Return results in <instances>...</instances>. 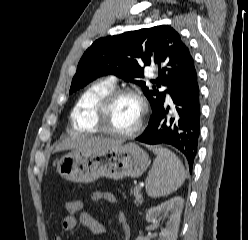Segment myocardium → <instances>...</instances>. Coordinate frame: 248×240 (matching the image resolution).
<instances>
[{
	"instance_id": "myocardium-1",
	"label": "myocardium",
	"mask_w": 248,
	"mask_h": 240,
	"mask_svg": "<svg viewBox=\"0 0 248 240\" xmlns=\"http://www.w3.org/2000/svg\"><path fill=\"white\" fill-rule=\"evenodd\" d=\"M121 96H132L136 98L141 107L140 119L135 128L129 132L115 131L106 126V117L109 113V110L113 106L115 100ZM147 116L148 105L144 96L139 90L134 88H113L108 93H106L96 105L93 120L97 131L112 137L127 139L137 136L142 131Z\"/></svg>"
}]
</instances>
